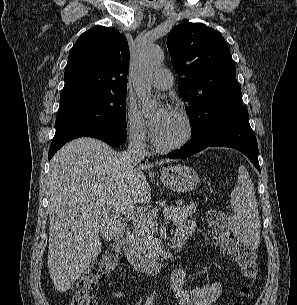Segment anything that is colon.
Instances as JSON below:
<instances>
[{
    "label": "colon",
    "instance_id": "5ec220e1",
    "mask_svg": "<svg viewBox=\"0 0 297 305\" xmlns=\"http://www.w3.org/2000/svg\"><path fill=\"white\" fill-rule=\"evenodd\" d=\"M208 233L220 251L234 262L242 275L253 283L259 276V264L256 255L241 245L227 228V216L223 209L213 208L207 215ZM119 262V249L112 245L97 259L88 270L77 278L72 286L70 305H96V283L112 273ZM250 292V286L242 289V295Z\"/></svg>",
    "mask_w": 297,
    "mask_h": 305
}]
</instances>
